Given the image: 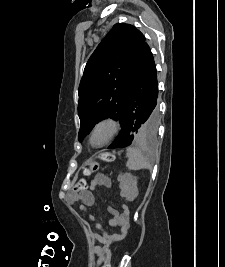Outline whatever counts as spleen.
Segmentation results:
<instances>
[{"label":"spleen","instance_id":"1","mask_svg":"<svg viewBox=\"0 0 225 267\" xmlns=\"http://www.w3.org/2000/svg\"><path fill=\"white\" fill-rule=\"evenodd\" d=\"M126 156L128 158L126 166L129 170H141L151 168V165L147 161L146 157L142 154L140 150L136 148H127Z\"/></svg>","mask_w":225,"mask_h":267}]
</instances>
